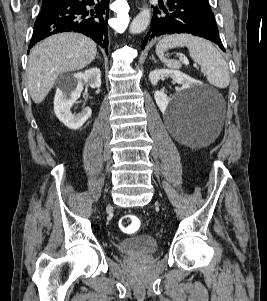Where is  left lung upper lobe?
<instances>
[{"instance_id": "left-lung-upper-lobe-1", "label": "left lung upper lobe", "mask_w": 267, "mask_h": 301, "mask_svg": "<svg viewBox=\"0 0 267 301\" xmlns=\"http://www.w3.org/2000/svg\"><path fill=\"white\" fill-rule=\"evenodd\" d=\"M193 2H195L198 6H200L201 8L205 9L206 11H208L209 13H212V10L208 4V0H191Z\"/></svg>"}]
</instances>
